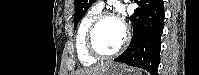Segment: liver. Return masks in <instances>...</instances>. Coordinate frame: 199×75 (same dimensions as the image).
Segmentation results:
<instances>
[{"label":"liver","instance_id":"6515ba94","mask_svg":"<svg viewBox=\"0 0 199 75\" xmlns=\"http://www.w3.org/2000/svg\"><path fill=\"white\" fill-rule=\"evenodd\" d=\"M109 66V64H106L101 66H95L85 70H78L76 72V75H104Z\"/></svg>","mask_w":199,"mask_h":75}]
</instances>
